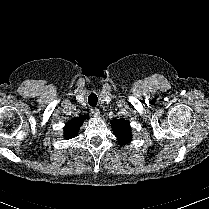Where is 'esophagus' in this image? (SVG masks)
Here are the masks:
<instances>
[{"instance_id": "obj_1", "label": "esophagus", "mask_w": 209, "mask_h": 209, "mask_svg": "<svg viewBox=\"0 0 209 209\" xmlns=\"http://www.w3.org/2000/svg\"><path fill=\"white\" fill-rule=\"evenodd\" d=\"M91 113H92V115H93L94 117H96V118L100 117V111H99L98 108H92V109H91Z\"/></svg>"}]
</instances>
